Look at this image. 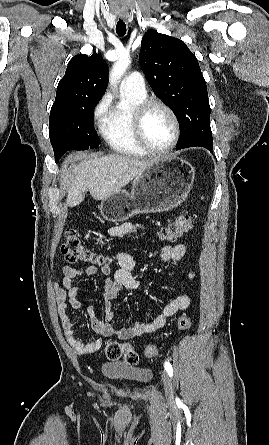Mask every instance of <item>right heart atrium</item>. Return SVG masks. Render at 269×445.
I'll return each mask as SVG.
<instances>
[{"label": "right heart atrium", "mask_w": 269, "mask_h": 445, "mask_svg": "<svg viewBox=\"0 0 269 445\" xmlns=\"http://www.w3.org/2000/svg\"><path fill=\"white\" fill-rule=\"evenodd\" d=\"M109 98L107 95L103 96L95 105L93 116L96 120H102L108 112Z\"/></svg>", "instance_id": "right-heart-atrium-1"}]
</instances>
